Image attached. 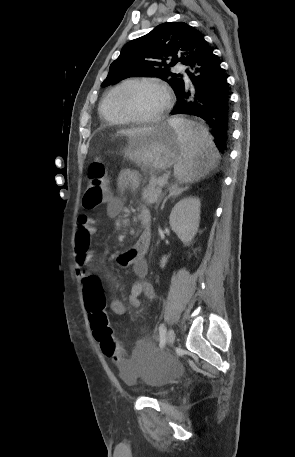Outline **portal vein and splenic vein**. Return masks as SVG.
I'll use <instances>...</instances> for the list:
<instances>
[{"label":"portal vein and splenic vein","mask_w":295,"mask_h":457,"mask_svg":"<svg viewBox=\"0 0 295 457\" xmlns=\"http://www.w3.org/2000/svg\"><path fill=\"white\" fill-rule=\"evenodd\" d=\"M166 183H167V179H165V178H161L158 180V184L161 187L164 186Z\"/></svg>","instance_id":"1"}]
</instances>
